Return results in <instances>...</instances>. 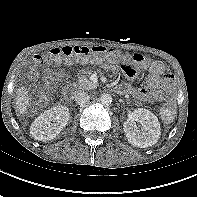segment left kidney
I'll use <instances>...</instances> for the list:
<instances>
[{
	"instance_id": "5707ae66",
	"label": "left kidney",
	"mask_w": 197,
	"mask_h": 197,
	"mask_svg": "<svg viewBox=\"0 0 197 197\" xmlns=\"http://www.w3.org/2000/svg\"><path fill=\"white\" fill-rule=\"evenodd\" d=\"M133 121H139L142 132H138L133 126ZM123 129L125 136L134 147L146 148L157 143L161 128L158 118L149 110L138 108L131 113L130 119L124 122Z\"/></svg>"
}]
</instances>
